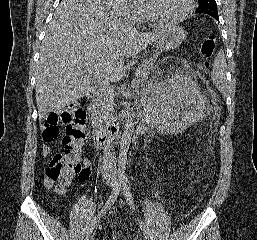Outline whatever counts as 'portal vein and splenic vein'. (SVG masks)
Segmentation results:
<instances>
[{
  "mask_svg": "<svg viewBox=\"0 0 257 240\" xmlns=\"http://www.w3.org/2000/svg\"><path fill=\"white\" fill-rule=\"evenodd\" d=\"M84 69H85V71L94 74V76L97 78L100 86L103 89L110 90L109 85L107 84V81H105L100 76V65L99 64H97V63H94V64L86 63L85 66H84Z\"/></svg>",
  "mask_w": 257,
  "mask_h": 240,
  "instance_id": "1",
  "label": "portal vein and splenic vein"
}]
</instances>
